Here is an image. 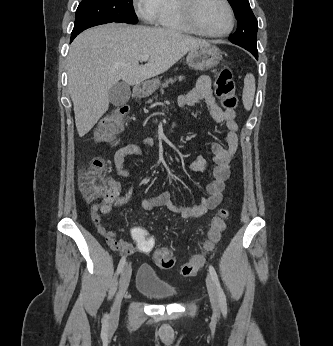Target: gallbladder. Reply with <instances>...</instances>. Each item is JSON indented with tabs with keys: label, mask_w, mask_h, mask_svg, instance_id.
<instances>
[{
	"label": "gallbladder",
	"mask_w": 333,
	"mask_h": 346,
	"mask_svg": "<svg viewBox=\"0 0 333 346\" xmlns=\"http://www.w3.org/2000/svg\"><path fill=\"white\" fill-rule=\"evenodd\" d=\"M130 95V86L124 81L117 82L109 90V101L114 106H120L128 102Z\"/></svg>",
	"instance_id": "gallbladder-1"
}]
</instances>
